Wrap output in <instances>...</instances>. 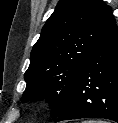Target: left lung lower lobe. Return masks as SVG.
Returning a JSON list of instances; mask_svg holds the SVG:
<instances>
[{
  "mask_svg": "<svg viewBox=\"0 0 118 123\" xmlns=\"http://www.w3.org/2000/svg\"><path fill=\"white\" fill-rule=\"evenodd\" d=\"M106 118L118 122V28L114 24L84 65L56 122Z\"/></svg>",
  "mask_w": 118,
  "mask_h": 123,
  "instance_id": "0a47b994",
  "label": "left lung lower lobe"
}]
</instances>
